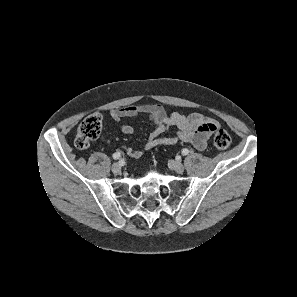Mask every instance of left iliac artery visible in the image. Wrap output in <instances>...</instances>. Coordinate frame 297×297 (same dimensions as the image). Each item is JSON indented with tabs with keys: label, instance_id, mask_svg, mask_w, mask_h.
Wrapping results in <instances>:
<instances>
[{
	"label": "left iliac artery",
	"instance_id": "obj_1",
	"mask_svg": "<svg viewBox=\"0 0 297 297\" xmlns=\"http://www.w3.org/2000/svg\"><path fill=\"white\" fill-rule=\"evenodd\" d=\"M189 153V150L187 149V148H184L183 150H182V154L183 155H187Z\"/></svg>",
	"mask_w": 297,
	"mask_h": 297
}]
</instances>
